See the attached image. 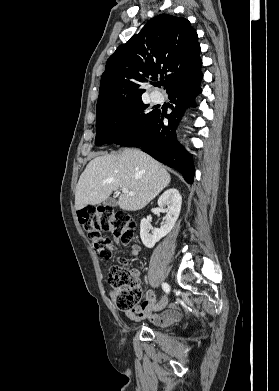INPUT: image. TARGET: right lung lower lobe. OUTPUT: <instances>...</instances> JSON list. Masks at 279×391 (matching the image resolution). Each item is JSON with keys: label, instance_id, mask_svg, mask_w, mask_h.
I'll return each instance as SVG.
<instances>
[{"label": "right lung lower lobe", "instance_id": "obj_1", "mask_svg": "<svg viewBox=\"0 0 279 391\" xmlns=\"http://www.w3.org/2000/svg\"><path fill=\"white\" fill-rule=\"evenodd\" d=\"M202 78L203 74L198 72L168 94L172 109L170 114L155 110L154 114L120 136L114 143L127 147H141L158 161L178 170L185 181L192 184L195 172L192 155L177 142L175 126L181 120L188 103L195 106L194 98L202 92ZM164 118L167 121H164Z\"/></svg>", "mask_w": 279, "mask_h": 391}]
</instances>
